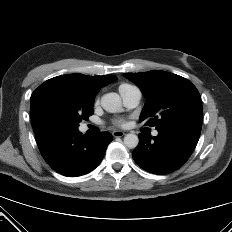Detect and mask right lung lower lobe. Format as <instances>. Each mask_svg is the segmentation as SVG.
I'll list each match as a JSON object with an SVG mask.
<instances>
[{"mask_svg": "<svg viewBox=\"0 0 232 232\" xmlns=\"http://www.w3.org/2000/svg\"><path fill=\"white\" fill-rule=\"evenodd\" d=\"M78 130H50L36 134L45 161L59 173L76 177L95 169L112 141L109 132L81 136Z\"/></svg>", "mask_w": 232, "mask_h": 232, "instance_id": "98d812e1", "label": "right lung lower lobe"}]
</instances>
